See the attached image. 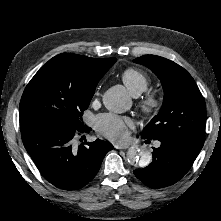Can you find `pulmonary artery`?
Here are the masks:
<instances>
[{
  "label": "pulmonary artery",
  "instance_id": "pulmonary-artery-1",
  "mask_svg": "<svg viewBox=\"0 0 221 221\" xmlns=\"http://www.w3.org/2000/svg\"><path fill=\"white\" fill-rule=\"evenodd\" d=\"M134 96H137V95H134ZM159 146H160V142H156L155 147H159Z\"/></svg>",
  "mask_w": 221,
  "mask_h": 221
}]
</instances>
